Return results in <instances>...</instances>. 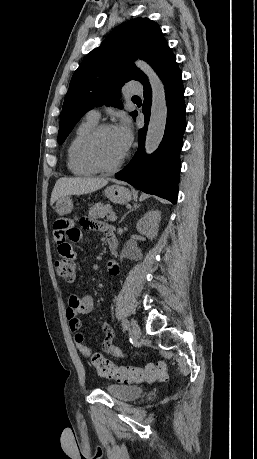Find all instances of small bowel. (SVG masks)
Instances as JSON below:
<instances>
[{"label":"small bowel","mask_w":257,"mask_h":459,"mask_svg":"<svg viewBox=\"0 0 257 459\" xmlns=\"http://www.w3.org/2000/svg\"><path fill=\"white\" fill-rule=\"evenodd\" d=\"M74 220L78 222L79 226H85L91 230H101L104 233L106 230L114 232L110 225L98 223L96 217H87L86 213H75ZM53 231V237L57 241V250L60 258H63L64 261L84 260V253L80 252L77 244H83L85 238L81 235V228L75 227L72 217H55ZM107 269L112 276H118L120 273L119 267L114 261H109L107 263ZM93 308V296L89 293H85L83 295H71L65 311L69 329L74 333L77 350L87 358L91 357L92 351L85 344L84 335L80 332L82 322L79 315L87 314L91 312ZM101 329L104 333L102 343L104 352L112 356L124 357L125 355L121 349L113 343L115 337L113 329L107 323H102Z\"/></svg>","instance_id":"c3829d8e"}]
</instances>
